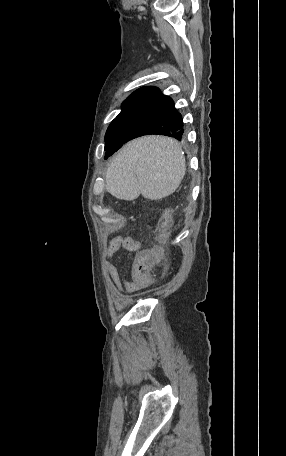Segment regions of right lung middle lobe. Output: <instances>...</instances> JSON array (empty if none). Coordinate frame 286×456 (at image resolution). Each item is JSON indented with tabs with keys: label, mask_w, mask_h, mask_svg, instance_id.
Segmentation results:
<instances>
[{
	"label": "right lung middle lobe",
	"mask_w": 286,
	"mask_h": 456,
	"mask_svg": "<svg viewBox=\"0 0 286 456\" xmlns=\"http://www.w3.org/2000/svg\"><path fill=\"white\" fill-rule=\"evenodd\" d=\"M123 108V105H122ZM128 136L122 112L112 121L105 135V159L119 149Z\"/></svg>",
	"instance_id": "1"
}]
</instances>
